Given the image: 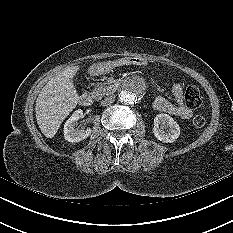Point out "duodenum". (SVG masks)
<instances>
[{"label":"duodenum","instance_id":"1","mask_svg":"<svg viewBox=\"0 0 233 233\" xmlns=\"http://www.w3.org/2000/svg\"><path fill=\"white\" fill-rule=\"evenodd\" d=\"M120 89H121V86L118 83H115L113 85L105 84V85H103V87H99V88H97L96 91L93 92V97L97 98L99 100H102V99H104L106 94L111 93V92H118V91H120ZM79 103L85 107L90 106L92 103L91 95L88 93H83L79 97Z\"/></svg>","mask_w":233,"mask_h":233}]
</instances>
